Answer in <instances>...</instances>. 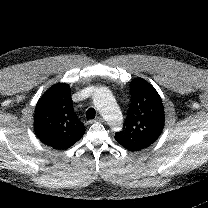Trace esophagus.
<instances>
[{
  "label": "esophagus",
  "mask_w": 208,
  "mask_h": 208,
  "mask_svg": "<svg viewBox=\"0 0 208 208\" xmlns=\"http://www.w3.org/2000/svg\"><path fill=\"white\" fill-rule=\"evenodd\" d=\"M95 121L104 122L105 120L101 116H98V117L95 118Z\"/></svg>",
  "instance_id": "esophagus-1"
}]
</instances>
